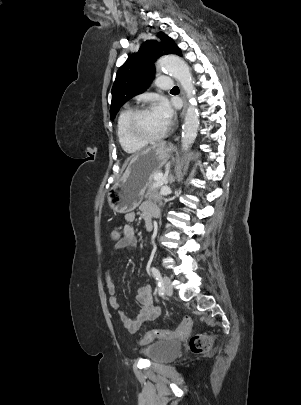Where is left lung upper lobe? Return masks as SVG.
Here are the masks:
<instances>
[{
  "label": "left lung upper lobe",
  "mask_w": 301,
  "mask_h": 405,
  "mask_svg": "<svg viewBox=\"0 0 301 405\" xmlns=\"http://www.w3.org/2000/svg\"><path fill=\"white\" fill-rule=\"evenodd\" d=\"M158 37L162 40V44L156 40H147L141 45L139 51L131 55L118 70L111 91V120L128 99L149 87L154 77L156 59L166 54L182 55L173 39L161 32Z\"/></svg>",
  "instance_id": "left-lung-upper-lobe-1"
}]
</instances>
